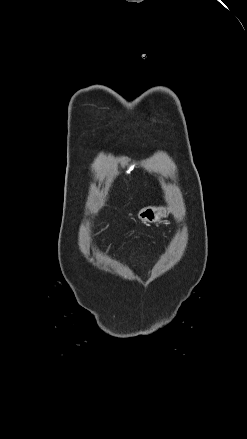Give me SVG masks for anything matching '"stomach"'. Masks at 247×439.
<instances>
[{"mask_svg": "<svg viewBox=\"0 0 247 439\" xmlns=\"http://www.w3.org/2000/svg\"><path fill=\"white\" fill-rule=\"evenodd\" d=\"M170 212L166 206H148L140 210L139 218L148 223H160Z\"/></svg>", "mask_w": 247, "mask_h": 439, "instance_id": "stomach-1", "label": "stomach"}]
</instances>
